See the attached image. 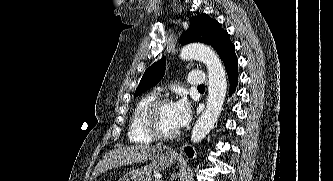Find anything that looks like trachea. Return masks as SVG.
<instances>
[{
  "mask_svg": "<svg viewBox=\"0 0 333 181\" xmlns=\"http://www.w3.org/2000/svg\"><path fill=\"white\" fill-rule=\"evenodd\" d=\"M198 89H205V86L204 85H200V86H198Z\"/></svg>",
  "mask_w": 333,
  "mask_h": 181,
  "instance_id": "1",
  "label": "trachea"
}]
</instances>
